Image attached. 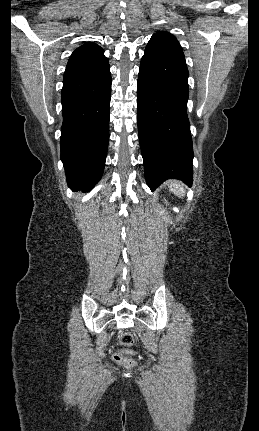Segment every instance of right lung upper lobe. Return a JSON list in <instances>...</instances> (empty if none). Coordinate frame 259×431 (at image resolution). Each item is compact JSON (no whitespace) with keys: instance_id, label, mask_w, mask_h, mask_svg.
Here are the masks:
<instances>
[{"instance_id":"cb5924a9","label":"right lung upper lobe","mask_w":259,"mask_h":431,"mask_svg":"<svg viewBox=\"0 0 259 431\" xmlns=\"http://www.w3.org/2000/svg\"><path fill=\"white\" fill-rule=\"evenodd\" d=\"M106 63L108 60L104 56V50L97 44L88 42L72 53L64 76L95 69Z\"/></svg>"}]
</instances>
